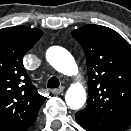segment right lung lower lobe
Returning a JSON list of instances; mask_svg holds the SVG:
<instances>
[{"instance_id": "right-lung-lower-lobe-1", "label": "right lung lower lobe", "mask_w": 131, "mask_h": 131, "mask_svg": "<svg viewBox=\"0 0 131 131\" xmlns=\"http://www.w3.org/2000/svg\"><path fill=\"white\" fill-rule=\"evenodd\" d=\"M36 117H37V116H36ZM36 117L33 118V119H31V120H29L28 122H26L25 124H23V125H22L21 127H19V128L10 129V130H7V129H6L5 131H26V130L29 128V126L35 122ZM0 131H1V130H0ZM2 131H3V130H2Z\"/></svg>"}]
</instances>
